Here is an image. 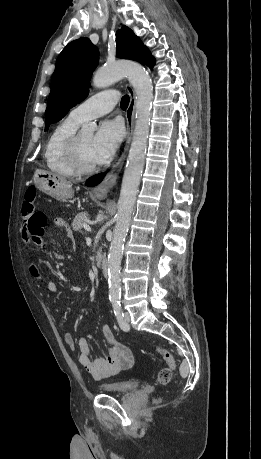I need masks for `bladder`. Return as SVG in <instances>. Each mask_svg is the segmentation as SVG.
<instances>
[{"instance_id":"obj_1","label":"bladder","mask_w":261,"mask_h":459,"mask_svg":"<svg viewBox=\"0 0 261 459\" xmlns=\"http://www.w3.org/2000/svg\"><path fill=\"white\" fill-rule=\"evenodd\" d=\"M139 388V383L136 381H117L105 383L100 386V390L105 393L129 394L135 392Z\"/></svg>"}]
</instances>
